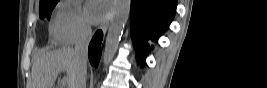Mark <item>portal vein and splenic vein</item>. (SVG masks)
<instances>
[{
    "instance_id": "obj_1",
    "label": "portal vein and splenic vein",
    "mask_w": 267,
    "mask_h": 88,
    "mask_svg": "<svg viewBox=\"0 0 267 88\" xmlns=\"http://www.w3.org/2000/svg\"><path fill=\"white\" fill-rule=\"evenodd\" d=\"M62 81H63V83H64V85H65V78H63ZM64 88H65V86H64Z\"/></svg>"
}]
</instances>
